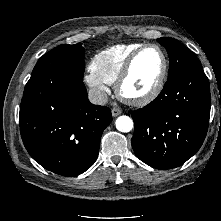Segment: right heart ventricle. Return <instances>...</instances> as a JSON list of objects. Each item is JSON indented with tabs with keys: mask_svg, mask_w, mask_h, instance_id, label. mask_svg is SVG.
<instances>
[{
	"mask_svg": "<svg viewBox=\"0 0 221 221\" xmlns=\"http://www.w3.org/2000/svg\"><path fill=\"white\" fill-rule=\"evenodd\" d=\"M143 43L118 44L98 52L90 63V71L107 84H114L129 56Z\"/></svg>",
	"mask_w": 221,
	"mask_h": 221,
	"instance_id": "1",
	"label": "right heart ventricle"
}]
</instances>
